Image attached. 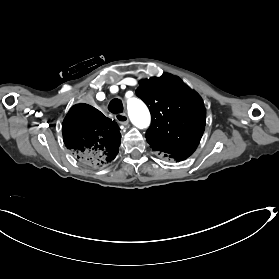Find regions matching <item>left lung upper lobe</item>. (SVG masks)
Instances as JSON below:
<instances>
[{
	"instance_id": "5c2ea615",
	"label": "left lung upper lobe",
	"mask_w": 279,
	"mask_h": 279,
	"mask_svg": "<svg viewBox=\"0 0 279 279\" xmlns=\"http://www.w3.org/2000/svg\"><path fill=\"white\" fill-rule=\"evenodd\" d=\"M136 95L148 106L152 124L146 140L164 157H189L205 128L206 110L201 98L170 74L140 81Z\"/></svg>"
}]
</instances>
